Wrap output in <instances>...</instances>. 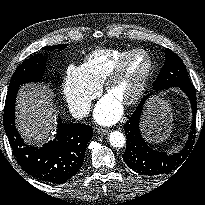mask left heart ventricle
<instances>
[{
    "label": "left heart ventricle",
    "mask_w": 205,
    "mask_h": 205,
    "mask_svg": "<svg viewBox=\"0 0 205 205\" xmlns=\"http://www.w3.org/2000/svg\"><path fill=\"white\" fill-rule=\"evenodd\" d=\"M148 59L145 54H136L127 63L121 78L116 81L109 95L118 101L129 98L137 88L147 68Z\"/></svg>",
    "instance_id": "obj_1"
}]
</instances>
